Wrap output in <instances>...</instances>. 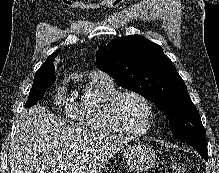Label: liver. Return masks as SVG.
Masks as SVG:
<instances>
[{
	"label": "liver",
	"mask_w": 219,
	"mask_h": 173,
	"mask_svg": "<svg viewBox=\"0 0 219 173\" xmlns=\"http://www.w3.org/2000/svg\"><path fill=\"white\" fill-rule=\"evenodd\" d=\"M125 140L95 134L35 105L19 116L11 144V173H99Z\"/></svg>",
	"instance_id": "6515ba94"
}]
</instances>
